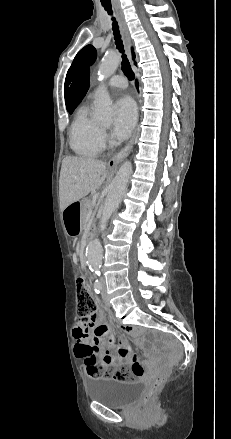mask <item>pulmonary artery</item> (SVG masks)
<instances>
[{
  "label": "pulmonary artery",
  "instance_id": "1",
  "mask_svg": "<svg viewBox=\"0 0 231 439\" xmlns=\"http://www.w3.org/2000/svg\"><path fill=\"white\" fill-rule=\"evenodd\" d=\"M107 87L124 89L127 87V81L121 75H114L109 79V81L107 83ZM97 92H98L97 89H95L93 91V95H96Z\"/></svg>",
  "mask_w": 231,
  "mask_h": 439
}]
</instances>
